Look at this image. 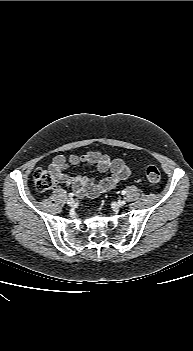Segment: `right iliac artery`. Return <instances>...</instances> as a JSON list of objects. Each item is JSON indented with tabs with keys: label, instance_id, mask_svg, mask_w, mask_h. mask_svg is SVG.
Masks as SVG:
<instances>
[{
	"label": "right iliac artery",
	"instance_id": "82829eb1",
	"mask_svg": "<svg viewBox=\"0 0 193 351\" xmlns=\"http://www.w3.org/2000/svg\"><path fill=\"white\" fill-rule=\"evenodd\" d=\"M74 196V194L73 193H69V197H73Z\"/></svg>",
	"mask_w": 193,
	"mask_h": 351
}]
</instances>
